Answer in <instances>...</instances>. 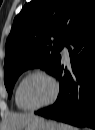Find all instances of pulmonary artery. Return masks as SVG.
<instances>
[{
    "mask_svg": "<svg viewBox=\"0 0 95 130\" xmlns=\"http://www.w3.org/2000/svg\"><path fill=\"white\" fill-rule=\"evenodd\" d=\"M61 53H62V55H63L64 58L68 59L69 53H68V47H67V46H65V47L63 48V50H62Z\"/></svg>",
    "mask_w": 95,
    "mask_h": 130,
    "instance_id": "1",
    "label": "pulmonary artery"
}]
</instances>
